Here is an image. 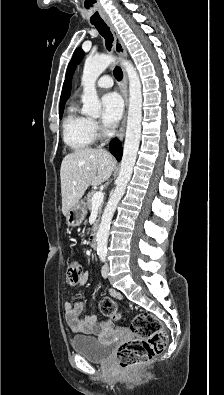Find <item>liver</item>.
Instances as JSON below:
<instances>
[{"label": "liver", "instance_id": "liver-1", "mask_svg": "<svg viewBox=\"0 0 224 395\" xmlns=\"http://www.w3.org/2000/svg\"><path fill=\"white\" fill-rule=\"evenodd\" d=\"M114 157L105 149H78L67 154L60 169L62 213L77 204L90 185L97 186L110 178Z\"/></svg>", "mask_w": 224, "mask_h": 395}]
</instances>
